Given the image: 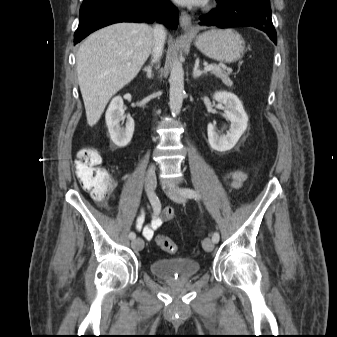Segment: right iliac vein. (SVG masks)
I'll return each mask as SVG.
<instances>
[{
    "instance_id": "right-iliac-vein-1",
    "label": "right iliac vein",
    "mask_w": 337,
    "mask_h": 337,
    "mask_svg": "<svg viewBox=\"0 0 337 337\" xmlns=\"http://www.w3.org/2000/svg\"><path fill=\"white\" fill-rule=\"evenodd\" d=\"M156 172L155 168H150L145 177V185H146V190L149 194H152L156 188ZM131 246L135 251L142 250L144 246V242L141 238H136L131 242Z\"/></svg>"
}]
</instances>
